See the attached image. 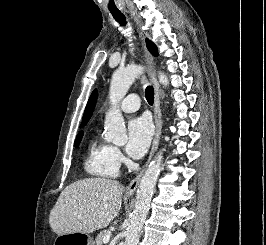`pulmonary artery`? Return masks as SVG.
Masks as SVG:
<instances>
[{
	"mask_svg": "<svg viewBox=\"0 0 266 245\" xmlns=\"http://www.w3.org/2000/svg\"><path fill=\"white\" fill-rule=\"evenodd\" d=\"M141 105V96L130 95L125 96L123 102L120 104V109L124 112H135Z\"/></svg>",
	"mask_w": 266,
	"mask_h": 245,
	"instance_id": "obj_1",
	"label": "pulmonary artery"
}]
</instances>
